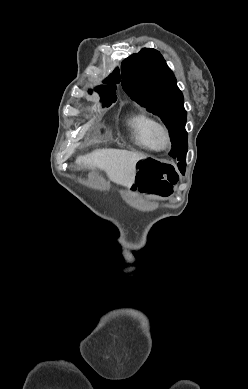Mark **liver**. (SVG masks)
Segmentation results:
<instances>
[{
  "label": "liver",
  "mask_w": 248,
  "mask_h": 389,
  "mask_svg": "<svg viewBox=\"0 0 248 389\" xmlns=\"http://www.w3.org/2000/svg\"><path fill=\"white\" fill-rule=\"evenodd\" d=\"M144 158L146 156L141 153L105 148L78 157L76 164L89 169L104 170L111 181L129 187L135 179L136 163Z\"/></svg>",
  "instance_id": "1"
}]
</instances>
